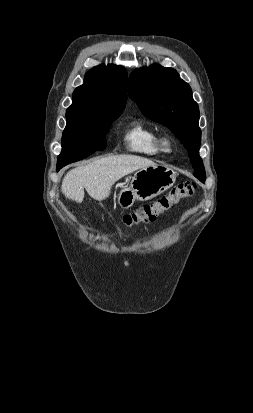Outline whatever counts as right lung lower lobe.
I'll use <instances>...</instances> for the list:
<instances>
[{"label": "right lung lower lobe", "mask_w": 253, "mask_h": 413, "mask_svg": "<svg viewBox=\"0 0 253 413\" xmlns=\"http://www.w3.org/2000/svg\"><path fill=\"white\" fill-rule=\"evenodd\" d=\"M63 166H57V171H59Z\"/></svg>", "instance_id": "1"}]
</instances>
